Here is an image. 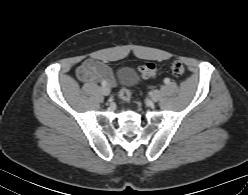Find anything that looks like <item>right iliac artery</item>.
Instances as JSON below:
<instances>
[{
	"label": "right iliac artery",
	"instance_id": "82829eb1",
	"mask_svg": "<svg viewBox=\"0 0 248 195\" xmlns=\"http://www.w3.org/2000/svg\"><path fill=\"white\" fill-rule=\"evenodd\" d=\"M107 83L105 81L102 82V86H106Z\"/></svg>",
	"mask_w": 248,
	"mask_h": 195
}]
</instances>
